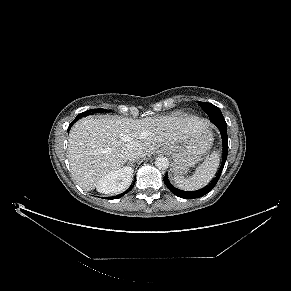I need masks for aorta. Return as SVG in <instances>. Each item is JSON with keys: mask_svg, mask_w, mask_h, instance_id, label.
I'll use <instances>...</instances> for the list:
<instances>
[{"mask_svg": "<svg viewBox=\"0 0 291 291\" xmlns=\"http://www.w3.org/2000/svg\"><path fill=\"white\" fill-rule=\"evenodd\" d=\"M155 166L160 170H166L169 167V160L164 156L155 159Z\"/></svg>", "mask_w": 291, "mask_h": 291, "instance_id": "obj_1", "label": "aorta"}]
</instances>
